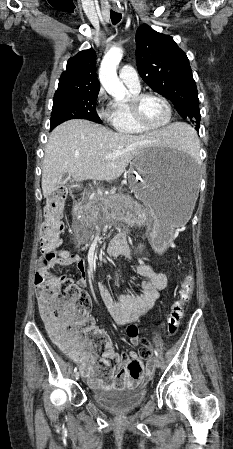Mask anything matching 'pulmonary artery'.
<instances>
[{
  "label": "pulmonary artery",
  "mask_w": 233,
  "mask_h": 449,
  "mask_svg": "<svg viewBox=\"0 0 233 449\" xmlns=\"http://www.w3.org/2000/svg\"><path fill=\"white\" fill-rule=\"evenodd\" d=\"M120 80L127 85L135 89H140V80L136 70L130 66L125 65L119 72Z\"/></svg>",
  "instance_id": "pulmonary-artery-1"
}]
</instances>
